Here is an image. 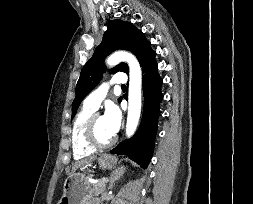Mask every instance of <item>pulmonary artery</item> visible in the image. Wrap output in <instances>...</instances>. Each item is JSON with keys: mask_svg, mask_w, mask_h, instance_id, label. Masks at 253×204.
Masks as SVG:
<instances>
[{"mask_svg": "<svg viewBox=\"0 0 253 204\" xmlns=\"http://www.w3.org/2000/svg\"><path fill=\"white\" fill-rule=\"evenodd\" d=\"M127 83L125 73H116L112 79L103 82L97 89L92 91L84 100V105L92 109H98L100 103L105 98L110 85L123 86Z\"/></svg>", "mask_w": 253, "mask_h": 204, "instance_id": "pulmonary-artery-1", "label": "pulmonary artery"}]
</instances>
